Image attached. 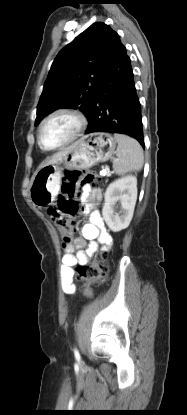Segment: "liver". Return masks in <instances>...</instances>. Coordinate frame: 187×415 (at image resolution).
<instances>
[{
	"label": "liver",
	"instance_id": "1",
	"mask_svg": "<svg viewBox=\"0 0 187 415\" xmlns=\"http://www.w3.org/2000/svg\"><path fill=\"white\" fill-rule=\"evenodd\" d=\"M72 146L67 147L57 153H55L44 165L55 164L63 159V157L71 150ZM43 165V166H44Z\"/></svg>",
	"mask_w": 187,
	"mask_h": 415
}]
</instances>
